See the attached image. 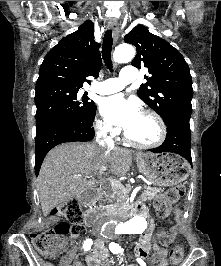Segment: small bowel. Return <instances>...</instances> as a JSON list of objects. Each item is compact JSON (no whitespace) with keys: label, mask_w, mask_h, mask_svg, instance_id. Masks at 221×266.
<instances>
[{"label":"small bowel","mask_w":221,"mask_h":266,"mask_svg":"<svg viewBox=\"0 0 221 266\" xmlns=\"http://www.w3.org/2000/svg\"><path fill=\"white\" fill-rule=\"evenodd\" d=\"M145 218V214H140ZM150 239H151V226L149 225L147 230L139 236L138 243L135 246V255L139 258H146L150 252ZM154 253L151 257V263L155 266H167L168 265V249L159 245L153 246ZM88 266H100L102 262H106L107 266H113L114 262L110 254L106 250H102L99 246L92 250L86 258ZM75 266H82L77 262ZM127 266H135L134 264H128Z\"/></svg>","instance_id":"c3829d8e"}]
</instances>
